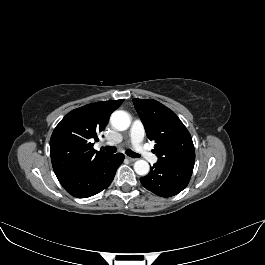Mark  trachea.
<instances>
[{
	"mask_svg": "<svg viewBox=\"0 0 265 265\" xmlns=\"http://www.w3.org/2000/svg\"><path fill=\"white\" fill-rule=\"evenodd\" d=\"M104 150H105L108 154H113V153L116 152L117 149H116L115 147L106 146V147H104ZM125 153H126L128 156L132 157V158H138V157H140L139 154H137V153H135V152H133V151H131V150H126Z\"/></svg>",
	"mask_w": 265,
	"mask_h": 265,
	"instance_id": "3493384b",
	"label": "trachea"
}]
</instances>
